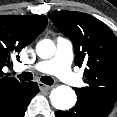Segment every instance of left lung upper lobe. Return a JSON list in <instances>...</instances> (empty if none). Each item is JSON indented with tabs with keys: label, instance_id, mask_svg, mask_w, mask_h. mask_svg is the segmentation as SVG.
<instances>
[{
	"label": "left lung upper lobe",
	"instance_id": "5c2ea615",
	"mask_svg": "<svg viewBox=\"0 0 117 117\" xmlns=\"http://www.w3.org/2000/svg\"><path fill=\"white\" fill-rule=\"evenodd\" d=\"M57 29L73 43L75 64L85 66V87L77 97L114 104L117 99V38L95 17L73 11L48 14Z\"/></svg>",
	"mask_w": 117,
	"mask_h": 117
}]
</instances>
